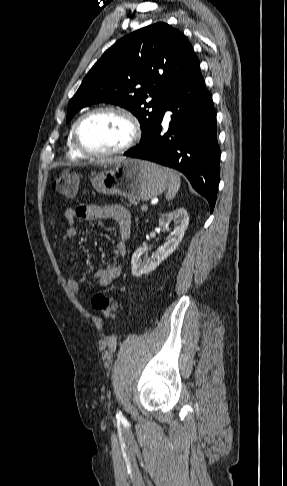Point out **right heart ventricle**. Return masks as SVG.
I'll return each instance as SVG.
<instances>
[{
  "label": "right heart ventricle",
  "mask_w": 287,
  "mask_h": 486,
  "mask_svg": "<svg viewBox=\"0 0 287 486\" xmlns=\"http://www.w3.org/2000/svg\"><path fill=\"white\" fill-rule=\"evenodd\" d=\"M74 126H75V124L71 128L70 133H69V136H68V140H67L68 155L71 158L80 159V158H83L84 156L81 153H79L77 151V149L75 148V146H74V143H73V129H74Z\"/></svg>",
  "instance_id": "obj_1"
}]
</instances>
